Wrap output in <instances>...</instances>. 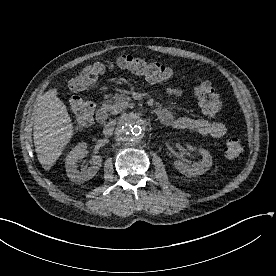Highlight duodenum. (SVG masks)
I'll list each match as a JSON object with an SVG mask.
<instances>
[{"mask_svg": "<svg viewBox=\"0 0 276 276\" xmlns=\"http://www.w3.org/2000/svg\"><path fill=\"white\" fill-rule=\"evenodd\" d=\"M156 115L160 120H163L166 117V114L164 110L162 109H157L156 110ZM109 118V113L108 110L104 107H101L97 110L96 112V121L100 124H105Z\"/></svg>", "mask_w": 276, "mask_h": 276, "instance_id": "410a0bca", "label": "duodenum"}]
</instances>
